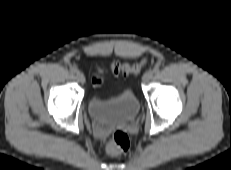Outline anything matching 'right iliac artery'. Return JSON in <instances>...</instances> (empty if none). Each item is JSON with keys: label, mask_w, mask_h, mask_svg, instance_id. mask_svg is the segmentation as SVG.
<instances>
[{"label": "right iliac artery", "mask_w": 231, "mask_h": 170, "mask_svg": "<svg viewBox=\"0 0 231 170\" xmlns=\"http://www.w3.org/2000/svg\"><path fill=\"white\" fill-rule=\"evenodd\" d=\"M70 72L71 73H76L77 72V68L76 67H71L70 68Z\"/></svg>", "instance_id": "1"}]
</instances>
